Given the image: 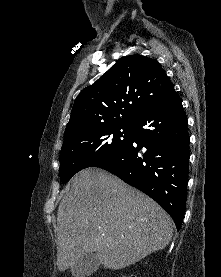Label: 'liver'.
<instances>
[{"label":"liver","mask_w":221,"mask_h":277,"mask_svg":"<svg viewBox=\"0 0 221 277\" xmlns=\"http://www.w3.org/2000/svg\"><path fill=\"white\" fill-rule=\"evenodd\" d=\"M173 220L151 198L99 168L71 180L57 212V266L72 267L93 253L104 268L118 270L163 250Z\"/></svg>","instance_id":"liver-1"}]
</instances>
